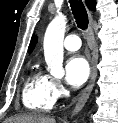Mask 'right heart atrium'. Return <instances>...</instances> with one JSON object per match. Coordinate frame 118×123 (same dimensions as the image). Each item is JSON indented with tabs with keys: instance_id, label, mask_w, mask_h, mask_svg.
Instances as JSON below:
<instances>
[{
	"instance_id": "d8ad5b80",
	"label": "right heart atrium",
	"mask_w": 118,
	"mask_h": 123,
	"mask_svg": "<svg viewBox=\"0 0 118 123\" xmlns=\"http://www.w3.org/2000/svg\"><path fill=\"white\" fill-rule=\"evenodd\" d=\"M48 82V88L51 96L56 101L64 96V87L60 80L51 76H46Z\"/></svg>"
}]
</instances>
